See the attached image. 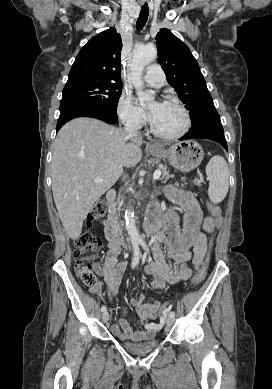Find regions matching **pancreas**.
I'll return each instance as SVG.
<instances>
[{"instance_id": "obj_1", "label": "pancreas", "mask_w": 272, "mask_h": 389, "mask_svg": "<svg viewBox=\"0 0 272 389\" xmlns=\"http://www.w3.org/2000/svg\"><path fill=\"white\" fill-rule=\"evenodd\" d=\"M160 169H161L162 172H163L162 180H163V181H167V180L171 177V175L169 174L168 167H167V166H162ZM182 186H184V184H182ZM122 205H123V202H121V203L118 205V207H117L116 204H113V205L111 206V214H116V211H117V210L120 211Z\"/></svg>"}]
</instances>
